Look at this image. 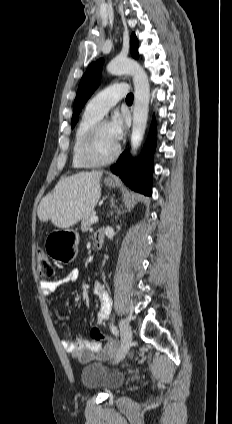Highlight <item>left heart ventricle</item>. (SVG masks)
Here are the masks:
<instances>
[{
  "instance_id": "b2bd125f",
  "label": "left heart ventricle",
  "mask_w": 232,
  "mask_h": 424,
  "mask_svg": "<svg viewBox=\"0 0 232 424\" xmlns=\"http://www.w3.org/2000/svg\"><path fill=\"white\" fill-rule=\"evenodd\" d=\"M116 146L117 143L111 135L109 124L106 123L99 131L96 141L95 154L99 158H106L115 151Z\"/></svg>"
}]
</instances>
